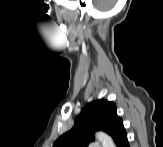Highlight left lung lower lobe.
<instances>
[{
    "label": "left lung lower lobe",
    "mask_w": 163,
    "mask_h": 147,
    "mask_svg": "<svg viewBox=\"0 0 163 147\" xmlns=\"http://www.w3.org/2000/svg\"><path fill=\"white\" fill-rule=\"evenodd\" d=\"M115 143L117 147H129V142L127 140V134L125 129H123Z\"/></svg>",
    "instance_id": "obj_1"
}]
</instances>
